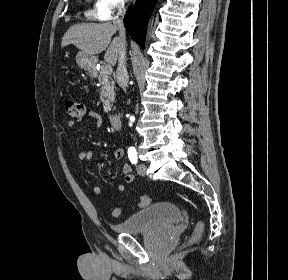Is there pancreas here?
Wrapping results in <instances>:
<instances>
[{"label":"pancreas","mask_w":288,"mask_h":280,"mask_svg":"<svg viewBox=\"0 0 288 280\" xmlns=\"http://www.w3.org/2000/svg\"><path fill=\"white\" fill-rule=\"evenodd\" d=\"M98 81L100 84V100L103 102L105 112H109L115 99L114 83L109 74L101 67Z\"/></svg>","instance_id":"cf45deb5"}]
</instances>
